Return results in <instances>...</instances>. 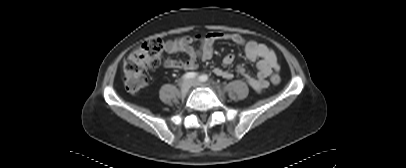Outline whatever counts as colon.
Here are the masks:
<instances>
[{"label": "colon", "mask_w": 406, "mask_h": 168, "mask_svg": "<svg viewBox=\"0 0 406 168\" xmlns=\"http://www.w3.org/2000/svg\"><path fill=\"white\" fill-rule=\"evenodd\" d=\"M163 49L164 43L160 38H150L124 58L122 80L129 93H138L147 85L148 69L160 65ZM270 80L274 85L281 82L277 73H273Z\"/></svg>", "instance_id": "obj_1"}]
</instances>
